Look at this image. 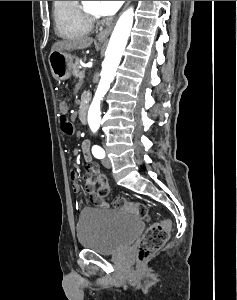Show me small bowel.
Returning a JSON list of instances; mask_svg holds the SVG:
<instances>
[{
    "mask_svg": "<svg viewBox=\"0 0 237 300\" xmlns=\"http://www.w3.org/2000/svg\"><path fill=\"white\" fill-rule=\"evenodd\" d=\"M67 109H68L67 104L65 102H62L60 104V110L62 112H66ZM89 146H90L89 141L88 140H84L81 143V145H80V151H81V153H82L85 161L88 162V163H90L89 170L92 171V172H95L97 170V165L91 163V154H90ZM71 177H72V180H73V190L75 192H79L80 186H79L78 182L76 181L77 174L74 171L72 172ZM91 199H92L93 202H95L100 207H107L108 206V204L105 201L101 200L95 194H91Z\"/></svg>",
    "mask_w": 237,
    "mask_h": 300,
    "instance_id": "c3829d8e",
    "label": "small bowel"
}]
</instances>
